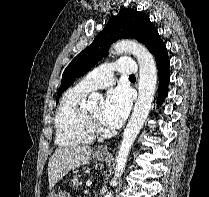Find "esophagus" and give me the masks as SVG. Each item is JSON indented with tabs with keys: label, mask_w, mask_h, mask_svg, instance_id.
<instances>
[{
	"label": "esophagus",
	"mask_w": 209,
	"mask_h": 197,
	"mask_svg": "<svg viewBox=\"0 0 209 197\" xmlns=\"http://www.w3.org/2000/svg\"><path fill=\"white\" fill-rule=\"evenodd\" d=\"M97 152L103 153V154H109V150H108L107 145H104V146L102 145V146L98 147Z\"/></svg>",
	"instance_id": "esophagus-1"
}]
</instances>
